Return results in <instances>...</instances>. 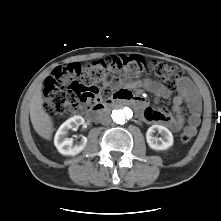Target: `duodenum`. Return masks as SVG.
I'll return each mask as SVG.
<instances>
[{
    "label": "duodenum",
    "mask_w": 221,
    "mask_h": 221,
    "mask_svg": "<svg viewBox=\"0 0 221 221\" xmlns=\"http://www.w3.org/2000/svg\"><path fill=\"white\" fill-rule=\"evenodd\" d=\"M118 102H127L129 105L138 109H141L144 104L142 99L134 97L129 90L121 89L104 101L95 102L92 107L85 110V114L89 119H95L99 113L107 110Z\"/></svg>",
    "instance_id": "duodenum-1"
}]
</instances>
